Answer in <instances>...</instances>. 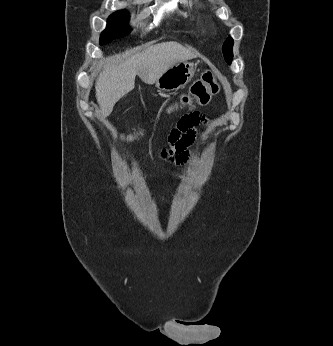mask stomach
I'll return each mask as SVG.
<instances>
[{"instance_id": "stomach-1", "label": "stomach", "mask_w": 333, "mask_h": 346, "mask_svg": "<svg viewBox=\"0 0 333 346\" xmlns=\"http://www.w3.org/2000/svg\"><path fill=\"white\" fill-rule=\"evenodd\" d=\"M195 73L194 63L180 61L168 68L155 82L159 91L170 92L187 85Z\"/></svg>"}]
</instances>
